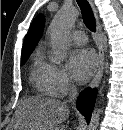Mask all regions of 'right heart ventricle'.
<instances>
[{"instance_id":"right-heart-ventricle-1","label":"right heart ventricle","mask_w":123,"mask_h":130,"mask_svg":"<svg viewBox=\"0 0 123 130\" xmlns=\"http://www.w3.org/2000/svg\"><path fill=\"white\" fill-rule=\"evenodd\" d=\"M31 78L39 93L45 96H55L51 77V64L46 61L40 51L34 55Z\"/></svg>"}]
</instances>
